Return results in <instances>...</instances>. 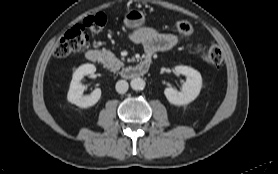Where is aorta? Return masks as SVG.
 <instances>
[{
	"instance_id": "aorta-1",
	"label": "aorta",
	"mask_w": 278,
	"mask_h": 174,
	"mask_svg": "<svg viewBox=\"0 0 278 174\" xmlns=\"http://www.w3.org/2000/svg\"><path fill=\"white\" fill-rule=\"evenodd\" d=\"M130 86L133 90L140 91L145 87V81L142 78H133L130 82Z\"/></svg>"
}]
</instances>
